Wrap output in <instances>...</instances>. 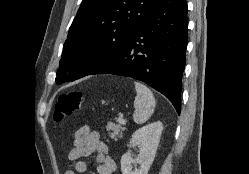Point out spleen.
I'll return each instance as SVG.
<instances>
[{"label":"spleen","mask_w":249,"mask_h":174,"mask_svg":"<svg viewBox=\"0 0 249 174\" xmlns=\"http://www.w3.org/2000/svg\"><path fill=\"white\" fill-rule=\"evenodd\" d=\"M136 98L133 119L137 124L145 123L153 114L156 101L151 90L142 83L135 82Z\"/></svg>","instance_id":"spleen-1"}]
</instances>
